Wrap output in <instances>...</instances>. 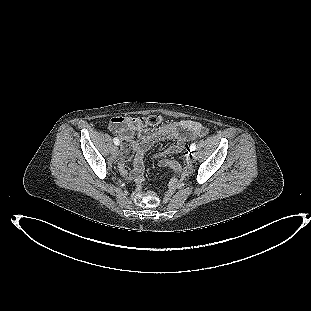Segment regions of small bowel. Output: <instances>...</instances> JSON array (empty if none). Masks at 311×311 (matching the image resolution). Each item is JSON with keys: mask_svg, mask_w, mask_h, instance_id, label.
I'll list each match as a JSON object with an SVG mask.
<instances>
[{"mask_svg": "<svg viewBox=\"0 0 311 311\" xmlns=\"http://www.w3.org/2000/svg\"><path fill=\"white\" fill-rule=\"evenodd\" d=\"M119 124V125H117ZM111 132L117 134L124 143L121 153V165L132 158L133 169L131 178L137 184H142L143 177V157L151 145L157 141L174 140L175 143L153 155L152 159H162L163 157L181 152L188 141L195 139L205 133L204 127L194 120H181L179 122L167 123L155 129L145 128L141 123V118L116 116L109 123ZM138 133V140H133L134 133ZM161 164L168 166L175 171H179V165L172 160L162 159ZM123 175L126 171L122 168Z\"/></svg>", "mask_w": 311, "mask_h": 311, "instance_id": "obj_1", "label": "small bowel"}]
</instances>
